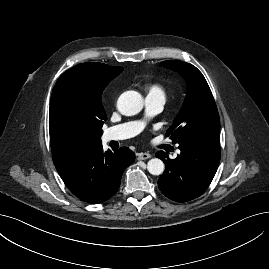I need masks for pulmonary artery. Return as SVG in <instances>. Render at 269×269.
<instances>
[{"instance_id":"pulmonary-artery-1","label":"pulmonary artery","mask_w":269,"mask_h":269,"mask_svg":"<svg viewBox=\"0 0 269 269\" xmlns=\"http://www.w3.org/2000/svg\"><path fill=\"white\" fill-rule=\"evenodd\" d=\"M146 106L149 114H155L159 112L164 103L165 97L160 94L148 95L146 97ZM143 128V122L132 121L119 124L108 128L103 134V141L108 142L112 140H123L134 137Z\"/></svg>"}]
</instances>
